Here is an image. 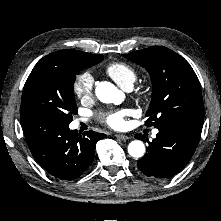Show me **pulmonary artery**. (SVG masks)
I'll list each match as a JSON object with an SVG mask.
<instances>
[{
	"label": "pulmonary artery",
	"instance_id": "obj_1",
	"mask_svg": "<svg viewBox=\"0 0 221 221\" xmlns=\"http://www.w3.org/2000/svg\"><path fill=\"white\" fill-rule=\"evenodd\" d=\"M131 88L129 87V88H126V90H130ZM82 121H85V119H82ZM157 133H158V130H154L153 131V136H156L157 135Z\"/></svg>",
	"mask_w": 221,
	"mask_h": 221
}]
</instances>
